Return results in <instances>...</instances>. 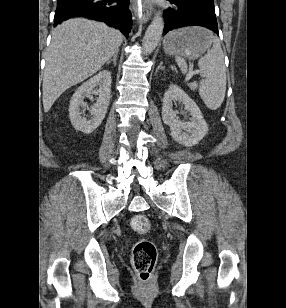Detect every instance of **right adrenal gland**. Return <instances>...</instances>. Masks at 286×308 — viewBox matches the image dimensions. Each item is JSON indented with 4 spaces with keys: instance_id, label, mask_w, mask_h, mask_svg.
Listing matches in <instances>:
<instances>
[{
    "instance_id": "right-adrenal-gland-1",
    "label": "right adrenal gland",
    "mask_w": 286,
    "mask_h": 308,
    "mask_svg": "<svg viewBox=\"0 0 286 308\" xmlns=\"http://www.w3.org/2000/svg\"><path fill=\"white\" fill-rule=\"evenodd\" d=\"M117 56L118 51L113 55V59L109 60L106 64L109 65L111 62H113V64L116 65Z\"/></svg>"
}]
</instances>
